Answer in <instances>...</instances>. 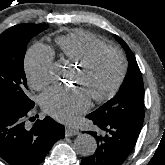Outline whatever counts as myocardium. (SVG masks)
Returning a JSON list of instances; mask_svg holds the SVG:
<instances>
[{
	"instance_id": "1",
	"label": "myocardium",
	"mask_w": 165,
	"mask_h": 165,
	"mask_svg": "<svg viewBox=\"0 0 165 165\" xmlns=\"http://www.w3.org/2000/svg\"><path fill=\"white\" fill-rule=\"evenodd\" d=\"M104 52H112L118 56L119 61H120V71H119L116 81L114 82L112 87L107 92H105L102 95L93 96L91 98L95 102H104V101H107L110 98H112L120 89V87L125 79L126 72H127V61H126V57H125L124 53L120 49L113 47V46H109V45L99 46V47L93 49L92 51H90L77 64L78 69L82 70V71L88 69L92 65V63L95 61V59Z\"/></svg>"
}]
</instances>
